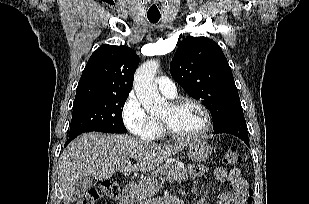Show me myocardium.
I'll return each mask as SVG.
<instances>
[{
  "label": "myocardium",
  "instance_id": "1",
  "mask_svg": "<svg viewBox=\"0 0 309 204\" xmlns=\"http://www.w3.org/2000/svg\"><path fill=\"white\" fill-rule=\"evenodd\" d=\"M189 103L196 105L202 111L204 115V126L199 132L194 133V134H189V135L179 134L175 132L164 119L160 118L159 120H160V124H161L163 132L167 134L171 139L183 140V141L196 140V139L203 137L210 131L211 126H212V117H211L209 109L201 101L195 98H192V97H184V98L171 101L170 106L172 108H178L184 104H189Z\"/></svg>",
  "mask_w": 309,
  "mask_h": 204
}]
</instances>
